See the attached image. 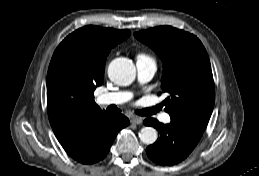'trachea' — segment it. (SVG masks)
<instances>
[{"label": "trachea", "mask_w": 259, "mask_h": 176, "mask_svg": "<svg viewBox=\"0 0 259 176\" xmlns=\"http://www.w3.org/2000/svg\"><path fill=\"white\" fill-rule=\"evenodd\" d=\"M159 110H160L159 107L147 108V109L138 111V114L142 116H149V115L155 114Z\"/></svg>", "instance_id": "trachea-1"}]
</instances>
